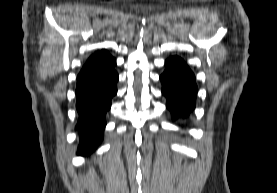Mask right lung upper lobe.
<instances>
[{
	"label": "right lung upper lobe",
	"instance_id": "right-lung-upper-lobe-1",
	"mask_svg": "<svg viewBox=\"0 0 277 193\" xmlns=\"http://www.w3.org/2000/svg\"><path fill=\"white\" fill-rule=\"evenodd\" d=\"M101 51H104V50H101ZM101 51H97V52H95L93 55H95V54H97V53H99V52H101ZM93 55H92V56H93Z\"/></svg>",
	"mask_w": 277,
	"mask_h": 193
}]
</instances>
